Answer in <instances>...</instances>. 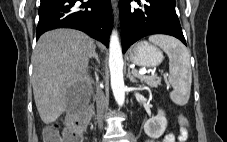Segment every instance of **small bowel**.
Here are the masks:
<instances>
[{"label": "small bowel", "mask_w": 227, "mask_h": 142, "mask_svg": "<svg viewBox=\"0 0 227 142\" xmlns=\"http://www.w3.org/2000/svg\"><path fill=\"white\" fill-rule=\"evenodd\" d=\"M177 141H180V142L185 141L181 133L178 136H176L173 133H167L163 137V139H161L157 142H177ZM146 142H154V141L153 140H147Z\"/></svg>", "instance_id": "c3829d8e"}]
</instances>
